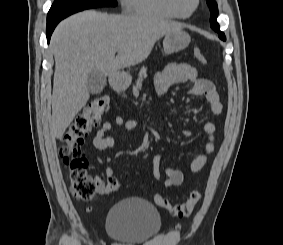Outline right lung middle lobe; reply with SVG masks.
Segmentation results:
<instances>
[{"label": "right lung middle lobe", "mask_w": 283, "mask_h": 245, "mask_svg": "<svg viewBox=\"0 0 283 245\" xmlns=\"http://www.w3.org/2000/svg\"><path fill=\"white\" fill-rule=\"evenodd\" d=\"M116 5V0H54L47 15V22L62 20L73 13L89 8Z\"/></svg>", "instance_id": "dd1d6c3e"}]
</instances>
